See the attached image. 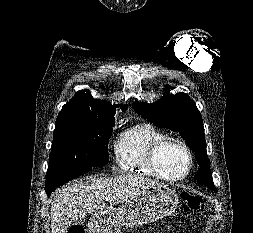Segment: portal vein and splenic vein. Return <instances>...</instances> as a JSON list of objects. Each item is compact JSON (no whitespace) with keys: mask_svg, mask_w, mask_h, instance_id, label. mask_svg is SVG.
Masks as SVG:
<instances>
[{"mask_svg":"<svg viewBox=\"0 0 253 233\" xmlns=\"http://www.w3.org/2000/svg\"><path fill=\"white\" fill-rule=\"evenodd\" d=\"M105 200H106V201H110V200H111V196H109V195L106 196V197H105Z\"/></svg>","mask_w":253,"mask_h":233,"instance_id":"portal-vein-and-splenic-vein-1","label":"portal vein and splenic vein"}]
</instances>
